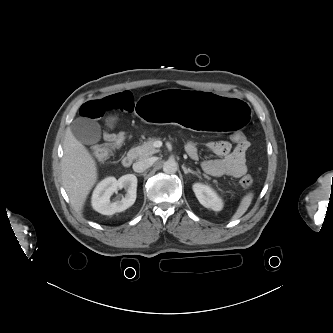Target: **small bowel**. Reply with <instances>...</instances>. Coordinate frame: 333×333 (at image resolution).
<instances>
[{"label":"small bowel","mask_w":333,"mask_h":333,"mask_svg":"<svg viewBox=\"0 0 333 333\" xmlns=\"http://www.w3.org/2000/svg\"><path fill=\"white\" fill-rule=\"evenodd\" d=\"M135 103L132 94L128 91L115 93L100 99L85 102L79 109L80 115L85 119H100L107 112L121 110L131 112ZM208 149L219 158L207 159L202 162L203 170L211 176L228 175L241 177L247 171L246 154L250 147L248 141L236 144L232 147L224 141L210 142ZM186 153L192 158L199 157L198 147L194 143H189L185 147Z\"/></svg>","instance_id":"obj_1"}]
</instances>
